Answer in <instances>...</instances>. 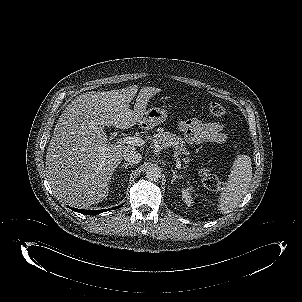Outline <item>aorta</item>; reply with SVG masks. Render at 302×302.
Listing matches in <instances>:
<instances>
[{
  "instance_id": "aorta-1",
  "label": "aorta",
  "mask_w": 302,
  "mask_h": 302,
  "mask_svg": "<svg viewBox=\"0 0 302 302\" xmlns=\"http://www.w3.org/2000/svg\"><path fill=\"white\" fill-rule=\"evenodd\" d=\"M146 178L149 181H158L159 178L161 177V171L159 168L151 166L149 168H147L146 170Z\"/></svg>"
}]
</instances>
